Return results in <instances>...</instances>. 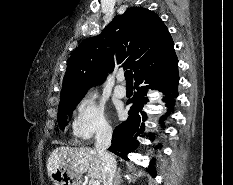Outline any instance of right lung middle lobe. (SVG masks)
Returning <instances> with one entry per match:
<instances>
[{"label": "right lung middle lobe", "instance_id": "right-lung-middle-lobe-1", "mask_svg": "<svg viewBox=\"0 0 233 185\" xmlns=\"http://www.w3.org/2000/svg\"><path fill=\"white\" fill-rule=\"evenodd\" d=\"M79 102L80 100L59 104L58 121L62 129L66 125L67 115L72 113Z\"/></svg>", "mask_w": 233, "mask_h": 185}]
</instances>
